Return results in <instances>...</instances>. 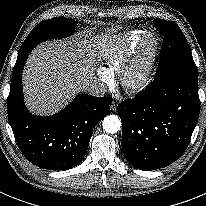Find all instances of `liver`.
Returning a JSON list of instances; mask_svg holds the SVG:
<instances>
[{
  "instance_id": "obj_1",
  "label": "liver",
  "mask_w": 206,
  "mask_h": 206,
  "mask_svg": "<svg viewBox=\"0 0 206 206\" xmlns=\"http://www.w3.org/2000/svg\"><path fill=\"white\" fill-rule=\"evenodd\" d=\"M107 37L88 39L78 33L72 41H47L30 54L23 70V89L28 109L53 114L93 82L97 55L113 51Z\"/></svg>"
}]
</instances>
